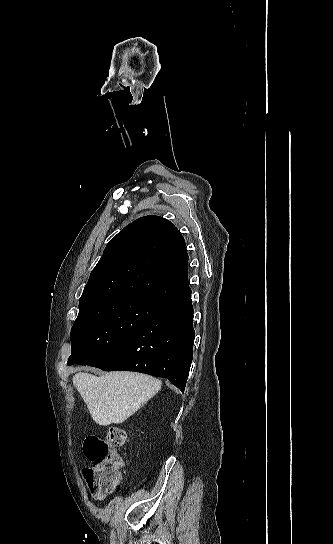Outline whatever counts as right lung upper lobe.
Masks as SVG:
<instances>
[{
	"label": "right lung upper lobe",
	"mask_w": 333,
	"mask_h": 544,
	"mask_svg": "<svg viewBox=\"0 0 333 544\" xmlns=\"http://www.w3.org/2000/svg\"><path fill=\"white\" fill-rule=\"evenodd\" d=\"M187 264L185 240L177 228L163 217H141L107 244L80 302L123 295L170 302L191 293Z\"/></svg>",
	"instance_id": "right-lung-upper-lobe-1"
}]
</instances>
